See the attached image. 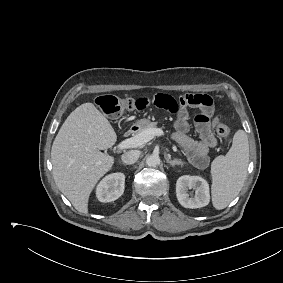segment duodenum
<instances>
[{"label": "duodenum", "instance_id": "410a0bca", "mask_svg": "<svg viewBox=\"0 0 283 283\" xmlns=\"http://www.w3.org/2000/svg\"><path fill=\"white\" fill-rule=\"evenodd\" d=\"M137 130V127H131L130 129H128L126 132H125V136L128 137L130 135H132L133 133H135Z\"/></svg>", "mask_w": 283, "mask_h": 283}]
</instances>
